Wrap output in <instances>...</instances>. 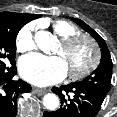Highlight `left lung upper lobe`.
<instances>
[{"label":"left lung upper lobe","mask_w":117,"mask_h":117,"mask_svg":"<svg viewBox=\"0 0 117 117\" xmlns=\"http://www.w3.org/2000/svg\"><path fill=\"white\" fill-rule=\"evenodd\" d=\"M71 20L77 23L89 34H91L101 48V62L99 66L88 77H86L82 81L76 82L75 84L93 89L99 92L101 95L106 96L111 87L112 77V60L107 45L103 38L82 20L77 18H71Z\"/></svg>","instance_id":"1"}]
</instances>
